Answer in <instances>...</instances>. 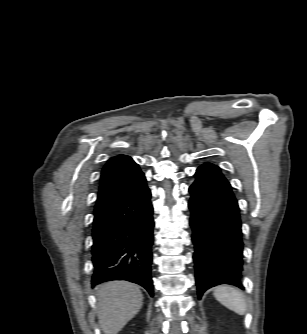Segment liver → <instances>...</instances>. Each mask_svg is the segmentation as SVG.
<instances>
[{"label": "liver", "instance_id": "obj_1", "mask_svg": "<svg viewBox=\"0 0 307 334\" xmlns=\"http://www.w3.org/2000/svg\"><path fill=\"white\" fill-rule=\"evenodd\" d=\"M97 313L104 334H117L141 309L139 287L125 281L103 283L96 288Z\"/></svg>", "mask_w": 307, "mask_h": 334}]
</instances>
